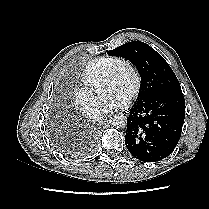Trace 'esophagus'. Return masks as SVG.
Listing matches in <instances>:
<instances>
[{"label":"esophagus","instance_id":"obj_1","mask_svg":"<svg viewBox=\"0 0 209 209\" xmlns=\"http://www.w3.org/2000/svg\"><path fill=\"white\" fill-rule=\"evenodd\" d=\"M108 120H107V118L104 120V121H102V124H104L105 122H107Z\"/></svg>","mask_w":209,"mask_h":209}]
</instances>
